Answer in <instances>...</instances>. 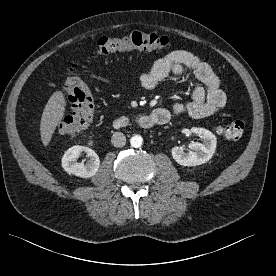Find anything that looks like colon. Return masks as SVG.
Returning a JSON list of instances; mask_svg holds the SVG:
<instances>
[{
	"mask_svg": "<svg viewBox=\"0 0 276 276\" xmlns=\"http://www.w3.org/2000/svg\"><path fill=\"white\" fill-rule=\"evenodd\" d=\"M170 45L166 36L134 30L117 37H101L96 41L91 56L96 57L115 52L130 50H162ZM65 87L69 95L71 113L58 125L59 133L70 136L91 125L94 120L95 104L88 85L78 76L71 74L66 79ZM245 130V121L235 119L217 128L220 136L236 140Z\"/></svg>",
	"mask_w": 276,
	"mask_h": 276,
	"instance_id": "5ec220e1",
	"label": "colon"
}]
</instances>
